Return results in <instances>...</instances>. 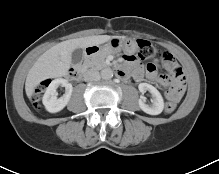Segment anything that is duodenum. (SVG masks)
<instances>
[{"instance_id": "1", "label": "duodenum", "mask_w": 219, "mask_h": 174, "mask_svg": "<svg viewBox=\"0 0 219 174\" xmlns=\"http://www.w3.org/2000/svg\"><path fill=\"white\" fill-rule=\"evenodd\" d=\"M99 52V48L98 47H89L86 49L85 51V55H84V60L83 62L86 63V61L88 60V58ZM85 67L84 65L78 66V67H74L71 68L69 71V76L73 79H80L84 73ZM117 75L120 77H126L125 72L122 69H117L116 71Z\"/></svg>"}]
</instances>
